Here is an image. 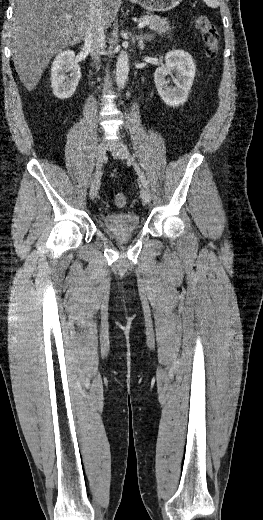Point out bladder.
<instances>
[{"label":"bladder","instance_id":"31cf9c89","mask_svg":"<svg viewBox=\"0 0 263 520\" xmlns=\"http://www.w3.org/2000/svg\"><path fill=\"white\" fill-rule=\"evenodd\" d=\"M105 230L112 233L133 232L140 228V216L136 213L106 214L102 217Z\"/></svg>","mask_w":263,"mask_h":520}]
</instances>
